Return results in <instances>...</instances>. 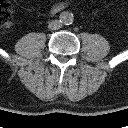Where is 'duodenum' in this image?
<instances>
[{"label":"duodenum","mask_w":128,"mask_h":128,"mask_svg":"<svg viewBox=\"0 0 128 128\" xmlns=\"http://www.w3.org/2000/svg\"><path fill=\"white\" fill-rule=\"evenodd\" d=\"M64 3H59L53 7V12H58L64 8Z\"/></svg>","instance_id":"obj_1"}]
</instances>
